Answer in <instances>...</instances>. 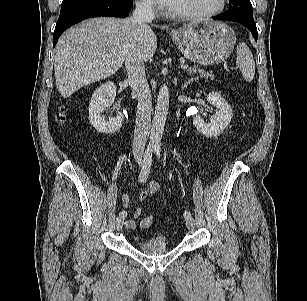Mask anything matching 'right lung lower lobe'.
<instances>
[{
  "mask_svg": "<svg viewBox=\"0 0 307 301\" xmlns=\"http://www.w3.org/2000/svg\"><path fill=\"white\" fill-rule=\"evenodd\" d=\"M131 0H83L62 6L54 30V45L60 35L71 25L89 17L114 16L124 18L131 11Z\"/></svg>",
  "mask_w": 307,
  "mask_h": 301,
  "instance_id": "1",
  "label": "right lung lower lobe"
}]
</instances>
